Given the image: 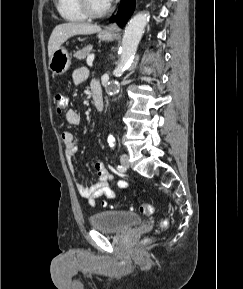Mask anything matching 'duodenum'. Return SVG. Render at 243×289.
I'll use <instances>...</instances> for the list:
<instances>
[{"label": "duodenum", "instance_id": "1", "mask_svg": "<svg viewBox=\"0 0 243 289\" xmlns=\"http://www.w3.org/2000/svg\"><path fill=\"white\" fill-rule=\"evenodd\" d=\"M92 98L95 109L97 111H102L103 109V97L100 87H95L92 89Z\"/></svg>", "mask_w": 243, "mask_h": 289}]
</instances>
